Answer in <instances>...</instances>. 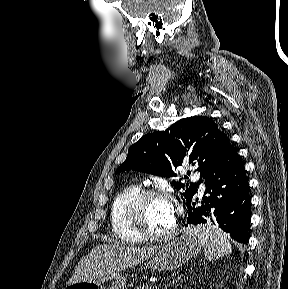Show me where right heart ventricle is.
I'll use <instances>...</instances> for the list:
<instances>
[{
	"instance_id": "1",
	"label": "right heart ventricle",
	"mask_w": 288,
	"mask_h": 289,
	"mask_svg": "<svg viewBox=\"0 0 288 289\" xmlns=\"http://www.w3.org/2000/svg\"><path fill=\"white\" fill-rule=\"evenodd\" d=\"M139 191L140 187L137 184H128L115 195L111 203L110 221L112 233L124 244L136 245L144 240L129 228L125 216L128 203Z\"/></svg>"
}]
</instances>
